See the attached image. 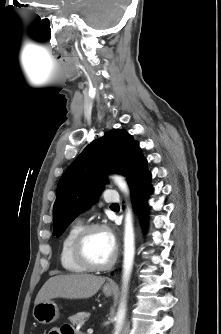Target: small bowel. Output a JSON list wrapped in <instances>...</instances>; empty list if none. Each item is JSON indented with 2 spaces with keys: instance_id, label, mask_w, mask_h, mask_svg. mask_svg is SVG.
Here are the masks:
<instances>
[{
  "instance_id": "c3829d8e",
  "label": "small bowel",
  "mask_w": 221,
  "mask_h": 334,
  "mask_svg": "<svg viewBox=\"0 0 221 334\" xmlns=\"http://www.w3.org/2000/svg\"><path fill=\"white\" fill-rule=\"evenodd\" d=\"M49 334H76L73 329L61 327V328H53Z\"/></svg>"
}]
</instances>
